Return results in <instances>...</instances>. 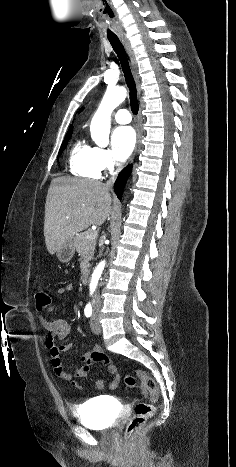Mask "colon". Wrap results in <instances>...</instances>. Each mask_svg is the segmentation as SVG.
I'll list each match as a JSON object with an SVG mask.
<instances>
[{"label":"colon","instance_id":"1","mask_svg":"<svg viewBox=\"0 0 236 467\" xmlns=\"http://www.w3.org/2000/svg\"><path fill=\"white\" fill-rule=\"evenodd\" d=\"M36 309L40 312L46 310L51 303V298L47 290L38 289L35 292ZM92 358L97 361H103L107 355L102 352L92 354ZM140 381L143 389L149 393L151 403L138 402L134 407V415L126 424L123 430V439L125 442H131L136 432L144 426L147 420L154 414V402L159 397V391L155 381L144 371L135 369L124 377V384L127 388H134Z\"/></svg>","mask_w":236,"mask_h":467}]
</instances>
